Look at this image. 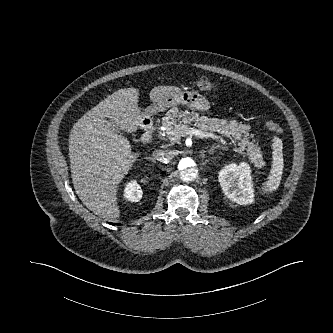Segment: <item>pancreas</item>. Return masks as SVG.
<instances>
[{
	"mask_svg": "<svg viewBox=\"0 0 333 333\" xmlns=\"http://www.w3.org/2000/svg\"><path fill=\"white\" fill-rule=\"evenodd\" d=\"M190 123H194L202 131L218 132L222 136L230 137L235 142L236 152L246 151L245 154L249 156L250 162L257 168L262 167L263 158L260 147L250 141L248 127L236 120L228 122L223 119H211L188 111L178 113V109L174 107L167 112L162 121L166 128V136L171 143H179L182 137L188 136V132L192 129L188 126Z\"/></svg>",
	"mask_w": 333,
	"mask_h": 333,
	"instance_id": "obj_1",
	"label": "pancreas"
}]
</instances>
